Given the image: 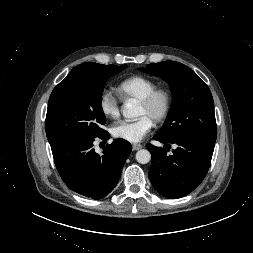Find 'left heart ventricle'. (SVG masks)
<instances>
[{
	"instance_id": "left-heart-ventricle-1",
	"label": "left heart ventricle",
	"mask_w": 253,
	"mask_h": 253,
	"mask_svg": "<svg viewBox=\"0 0 253 253\" xmlns=\"http://www.w3.org/2000/svg\"><path fill=\"white\" fill-rule=\"evenodd\" d=\"M160 106H161V101H158L156 105L151 108L145 107L144 105L139 103L137 116L138 117L147 116L153 119L154 115L159 110Z\"/></svg>"
}]
</instances>
